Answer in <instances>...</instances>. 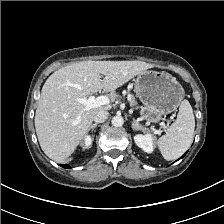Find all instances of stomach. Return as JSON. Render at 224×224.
Returning <instances> with one entry per match:
<instances>
[{"label":"stomach","instance_id":"1","mask_svg":"<svg viewBox=\"0 0 224 224\" xmlns=\"http://www.w3.org/2000/svg\"><path fill=\"white\" fill-rule=\"evenodd\" d=\"M135 92L143 104L140 112L142 118L153 123L175 111L185 94L175 77L154 70H145L138 75Z\"/></svg>","mask_w":224,"mask_h":224}]
</instances>
